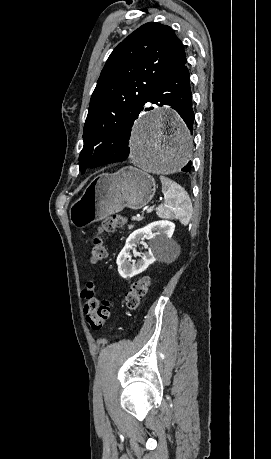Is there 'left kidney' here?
I'll use <instances>...</instances> for the list:
<instances>
[{
	"mask_svg": "<svg viewBox=\"0 0 271 459\" xmlns=\"http://www.w3.org/2000/svg\"><path fill=\"white\" fill-rule=\"evenodd\" d=\"M174 228L175 224H172V222L161 220V222H152V224H148L145 228L132 231L117 257L120 275L125 277V279H130L133 275L144 271L150 263H153L156 259L155 255L164 253L167 249H174V247H169L170 237ZM142 237H150V241H148L150 247L149 251H146L145 255H141V259H138L136 263L134 259H129L131 257L130 249H133L136 241H139Z\"/></svg>",
	"mask_w": 271,
	"mask_h": 459,
	"instance_id": "1",
	"label": "left kidney"
}]
</instances>
